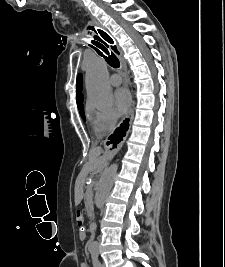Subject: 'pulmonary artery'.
I'll return each mask as SVG.
<instances>
[{
	"instance_id": "1",
	"label": "pulmonary artery",
	"mask_w": 225,
	"mask_h": 267,
	"mask_svg": "<svg viewBox=\"0 0 225 267\" xmlns=\"http://www.w3.org/2000/svg\"><path fill=\"white\" fill-rule=\"evenodd\" d=\"M109 82L112 86H118L121 84L122 79L118 74H113L110 76Z\"/></svg>"
}]
</instances>
